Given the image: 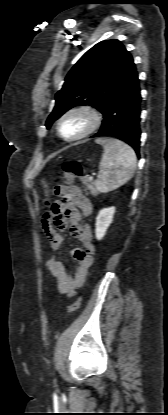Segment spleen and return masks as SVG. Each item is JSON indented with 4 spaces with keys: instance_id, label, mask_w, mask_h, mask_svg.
Instances as JSON below:
<instances>
[{
    "instance_id": "spleen-1",
    "label": "spleen",
    "mask_w": 168,
    "mask_h": 415,
    "mask_svg": "<svg viewBox=\"0 0 168 415\" xmlns=\"http://www.w3.org/2000/svg\"><path fill=\"white\" fill-rule=\"evenodd\" d=\"M96 143L104 147V152L95 186L99 192L107 193L124 185L133 177L136 154L129 145L118 139L99 138L96 139Z\"/></svg>"
}]
</instances>
